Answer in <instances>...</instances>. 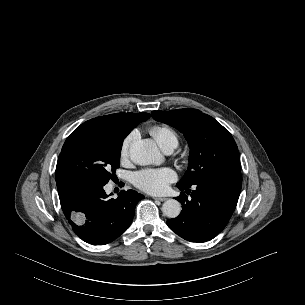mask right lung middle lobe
Wrapping results in <instances>:
<instances>
[{
	"mask_svg": "<svg viewBox=\"0 0 305 305\" xmlns=\"http://www.w3.org/2000/svg\"><path fill=\"white\" fill-rule=\"evenodd\" d=\"M126 132L83 123L66 139L56 166V182L82 181L105 185L120 166Z\"/></svg>",
	"mask_w": 305,
	"mask_h": 305,
	"instance_id": "right-lung-middle-lobe-1",
	"label": "right lung middle lobe"
}]
</instances>
